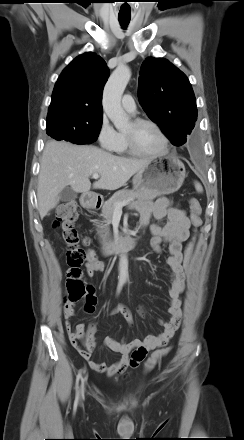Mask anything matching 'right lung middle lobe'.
Returning <instances> with one entry per match:
<instances>
[{"label":"right lung middle lobe","mask_w":244,"mask_h":440,"mask_svg":"<svg viewBox=\"0 0 244 440\" xmlns=\"http://www.w3.org/2000/svg\"><path fill=\"white\" fill-rule=\"evenodd\" d=\"M102 121L77 123L71 121H47V134L56 140L70 141L76 144H91L96 141Z\"/></svg>","instance_id":"dd1d6c3e"}]
</instances>
